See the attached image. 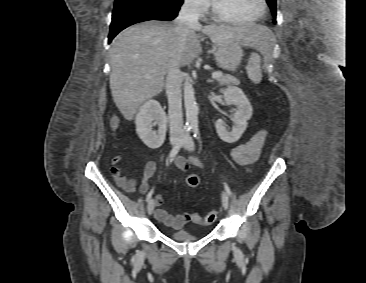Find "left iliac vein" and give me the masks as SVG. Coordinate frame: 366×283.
I'll list each match as a JSON object with an SVG mask.
<instances>
[{
	"label": "left iliac vein",
	"mask_w": 366,
	"mask_h": 283,
	"mask_svg": "<svg viewBox=\"0 0 366 283\" xmlns=\"http://www.w3.org/2000/svg\"><path fill=\"white\" fill-rule=\"evenodd\" d=\"M183 147L186 149V150H189V151H192L194 150V142H193V139L192 137L188 136L183 144ZM221 198H222V205L224 207L225 210L228 209L229 207V199H228V195L226 192H222V195H221Z\"/></svg>",
	"instance_id": "left-iliac-vein-1"
}]
</instances>
